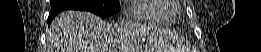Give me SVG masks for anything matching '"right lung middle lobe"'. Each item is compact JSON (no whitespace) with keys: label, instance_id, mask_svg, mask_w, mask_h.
<instances>
[{"label":"right lung middle lobe","instance_id":"right-lung-middle-lobe-1","mask_svg":"<svg viewBox=\"0 0 261 52\" xmlns=\"http://www.w3.org/2000/svg\"><path fill=\"white\" fill-rule=\"evenodd\" d=\"M51 10H86L102 17L115 14L119 9L118 0H51Z\"/></svg>","mask_w":261,"mask_h":52}]
</instances>
